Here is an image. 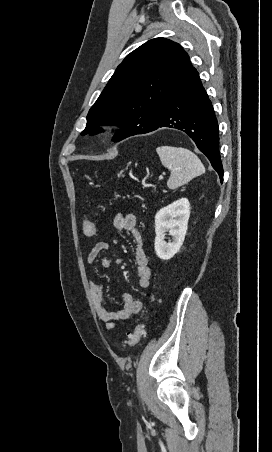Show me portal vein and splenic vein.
Wrapping results in <instances>:
<instances>
[{
	"mask_svg": "<svg viewBox=\"0 0 272 452\" xmlns=\"http://www.w3.org/2000/svg\"><path fill=\"white\" fill-rule=\"evenodd\" d=\"M162 179H163V176H162V175H160V176H159V180H162Z\"/></svg>",
	"mask_w": 272,
	"mask_h": 452,
	"instance_id": "1",
	"label": "portal vein and splenic vein"
}]
</instances>
